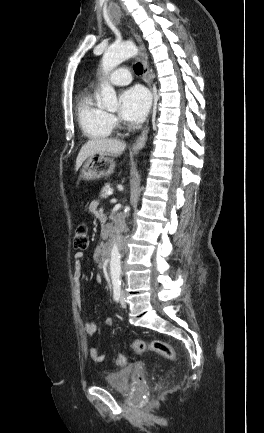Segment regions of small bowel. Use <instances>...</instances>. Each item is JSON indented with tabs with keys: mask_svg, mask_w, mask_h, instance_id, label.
<instances>
[{
	"mask_svg": "<svg viewBox=\"0 0 264 433\" xmlns=\"http://www.w3.org/2000/svg\"><path fill=\"white\" fill-rule=\"evenodd\" d=\"M98 206H99V202L94 200L92 202H90L89 204V210L98 215L99 211H98ZM83 253L82 252H77L74 255V279L76 281V302L78 307H81V293H80V279L83 275L84 272V263H83ZM102 276L101 275H96L95 276V282L97 284H100L102 282ZM105 323L107 325H112L113 324V319L111 317H108L105 319ZM84 330L86 332L87 335L89 336H93L94 334H96L97 332V325L94 321L88 320L84 322ZM89 355L90 358L95 361V362H102L104 360V356L103 354L97 349V348H91L89 351Z\"/></svg>",
	"mask_w": 264,
	"mask_h": 433,
	"instance_id": "c3829d8e",
	"label": "small bowel"
}]
</instances>
